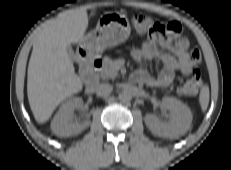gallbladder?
Here are the masks:
<instances>
[{
	"mask_svg": "<svg viewBox=\"0 0 231 170\" xmlns=\"http://www.w3.org/2000/svg\"><path fill=\"white\" fill-rule=\"evenodd\" d=\"M67 52H68L69 56H70L71 58H73L74 52H73V49H72V47H71L70 45L67 46Z\"/></svg>",
	"mask_w": 231,
	"mask_h": 170,
	"instance_id": "gallbladder-1",
	"label": "gallbladder"
}]
</instances>
